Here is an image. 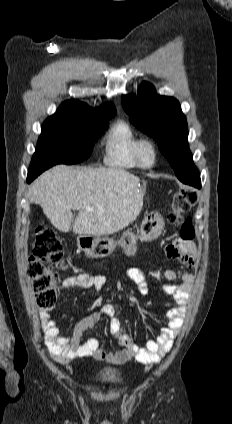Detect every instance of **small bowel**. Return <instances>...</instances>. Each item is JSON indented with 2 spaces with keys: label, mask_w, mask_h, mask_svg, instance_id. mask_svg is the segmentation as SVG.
Masks as SVG:
<instances>
[{
  "label": "small bowel",
  "mask_w": 232,
  "mask_h": 424,
  "mask_svg": "<svg viewBox=\"0 0 232 424\" xmlns=\"http://www.w3.org/2000/svg\"><path fill=\"white\" fill-rule=\"evenodd\" d=\"M163 251L168 258L180 263L188 270L180 276L173 270H167L163 274L167 281L174 282L178 278L179 281L163 286V291L173 298L174 306L166 312L167 325L161 329L156 338L148 340L145 346L136 344L127 334L122 321L117 317L116 308L108 302L103 303L99 309L78 321L70 337L61 336L57 323L50 318L47 311L41 310L39 318L45 332V344L52 357L61 364L78 358H94L114 364H123L135 359L144 364H156L170 352L174 340L183 326V316L188 310L194 284L191 270L197 263L198 249L193 241L178 238L166 244ZM126 276L138 286L140 295L149 294L144 274L136 269H130L126 272ZM105 286L106 278L104 276L78 272L66 277L60 288H92L101 292ZM102 316L110 317L109 329L122 347L121 350L112 352L103 348L96 338H90L81 343L83 335L97 326Z\"/></svg>",
  "instance_id": "obj_1"
}]
</instances>
